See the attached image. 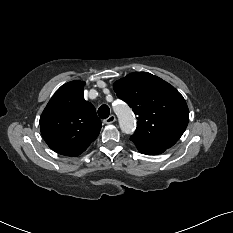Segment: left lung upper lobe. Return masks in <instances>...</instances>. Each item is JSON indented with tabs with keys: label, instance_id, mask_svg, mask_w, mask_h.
<instances>
[{
	"label": "left lung upper lobe",
	"instance_id": "5c2ea615",
	"mask_svg": "<svg viewBox=\"0 0 233 233\" xmlns=\"http://www.w3.org/2000/svg\"><path fill=\"white\" fill-rule=\"evenodd\" d=\"M117 96L138 115L130 140L138 146L170 148L184 133L189 110L169 83L147 72H134L114 83Z\"/></svg>",
	"mask_w": 233,
	"mask_h": 233
}]
</instances>
